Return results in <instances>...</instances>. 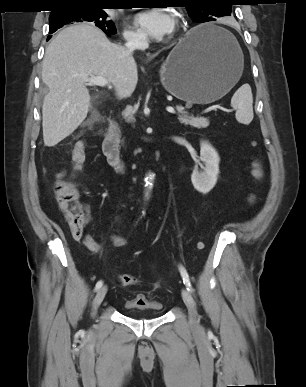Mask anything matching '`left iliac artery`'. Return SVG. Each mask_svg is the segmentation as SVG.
I'll return each instance as SVG.
<instances>
[{
    "mask_svg": "<svg viewBox=\"0 0 306 387\" xmlns=\"http://www.w3.org/2000/svg\"><path fill=\"white\" fill-rule=\"evenodd\" d=\"M181 276L183 278V283L185 284L188 291L193 292V288L189 279V276L183 266H179Z\"/></svg>",
    "mask_w": 306,
    "mask_h": 387,
    "instance_id": "44dca946",
    "label": "left iliac artery"
}]
</instances>
